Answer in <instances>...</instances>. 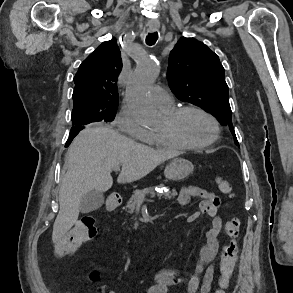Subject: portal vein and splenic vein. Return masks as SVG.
<instances>
[{
  "mask_svg": "<svg viewBox=\"0 0 293 293\" xmlns=\"http://www.w3.org/2000/svg\"><path fill=\"white\" fill-rule=\"evenodd\" d=\"M114 171H116V172H117V171H120V167H119V166L115 167V168H114ZM144 198H145V196H141V197H139V200H140V201H143Z\"/></svg>",
  "mask_w": 293,
  "mask_h": 293,
  "instance_id": "1",
  "label": "portal vein and splenic vein"
}]
</instances>
